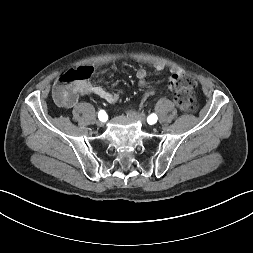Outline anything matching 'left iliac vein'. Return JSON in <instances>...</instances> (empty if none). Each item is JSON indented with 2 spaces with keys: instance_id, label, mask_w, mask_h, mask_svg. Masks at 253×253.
I'll return each instance as SVG.
<instances>
[{
  "instance_id": "obj_1",
  "label": "left iliac vein",
  "mask_w": 253,
  "mask_h": 253,
  "mask_svg": "<svg viewBox=\"0 0 253 253\" xmlns=\"http://www.w3.org/2000/svg\"><path fill=\"white\" fill-rule=\"evenodd\" d=\"M129 115L138 121H140L143 125L146 124L145 116L142 113H137L135 111H129Z\"/></svg>"
}]
</instances>
